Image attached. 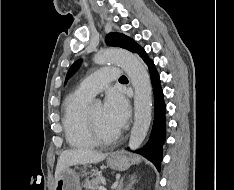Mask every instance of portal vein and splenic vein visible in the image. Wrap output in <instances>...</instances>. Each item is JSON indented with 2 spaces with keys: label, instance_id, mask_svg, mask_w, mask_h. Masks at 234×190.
I'll return each instance as SVG.
<instances>
[{
  "label": "portal vein and splenic vein",
  "instance_id": "portal-vein-and-splenic-vein-1",
  "mask_svg": "<svg viewBox=\"0 0 234 190\" xmlns=\"http://www.w3.org/2000/svg\"><path fill=\"white\" fill-rule=\"evenodd\" d=\"M98 189L99 190H107L105 187H103V186H100V187H98Z\"/></svg>",
  "mask_w": 234,
  "mask_h": 190
}]
</instances>
